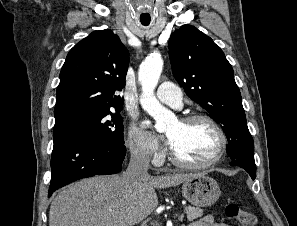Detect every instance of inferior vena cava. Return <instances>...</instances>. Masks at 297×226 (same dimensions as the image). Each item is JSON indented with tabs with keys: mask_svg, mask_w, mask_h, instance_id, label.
Returning <instances> with one entry per match:
<instances>
[{
	"mask_svg": "<svg viewBox=\"0 0 297 226\" xmlns=\"http://www.w3.org/2000/svg\"><path fill=\"white\" fill-rule=\"evenodd\" d=\"M150 163V153L145 148L131 152V158L126 172L123 174L129 183H138L147 178Z\"/></svg>",
	"mask_w": 297,
	"mask_h": 226,
	"instance_id": "obj_1",
	"label": "inferior vena cava"
}]
</instances>
